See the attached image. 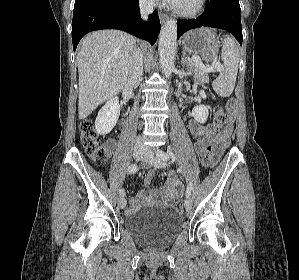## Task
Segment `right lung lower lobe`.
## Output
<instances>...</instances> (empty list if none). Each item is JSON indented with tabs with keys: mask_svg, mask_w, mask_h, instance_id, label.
Masks as SVG:
<instances>
[{
	"mask_svg": "<svg viewBox=\"0 0 299 280\" xmlns=\"http://www.w3.org/2000/svg\"><path fill=\"white\" fill-rule=\"evenodd\" d=\"M118 29L154 44L161 29L158 12L143 22L138 0H75L72 20L73 49L88 32Z\"/></svg>",
	"mask_w": 299,
	"mask_h": 280,
	"instance_id": "1",
	"label": "right lung lower lobe"
}]
</instances>
